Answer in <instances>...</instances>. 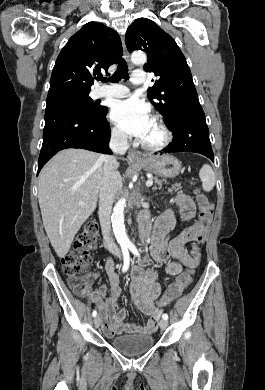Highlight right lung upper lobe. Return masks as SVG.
<instances>
[{
    "instance_id": "right-lung-upper-lobe-1",
    "label": "right lung upper lobe",
    "mask_w": 265,
    "mask_h": 390,
    "mask_svg": "<svg viewBox=\"0 0 265 390\" xmlns=\"http://www.w3.org/2000/svg\"><path fill=\"white\" fill-rule=\"evenodd\" d=\"M119 35L97 22L85 24L57 57L50 79L47 100L90 92L93 80L107 73L122 56Z\"/></svg>"
}]
</instances>
